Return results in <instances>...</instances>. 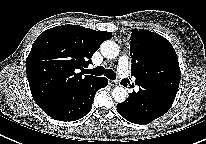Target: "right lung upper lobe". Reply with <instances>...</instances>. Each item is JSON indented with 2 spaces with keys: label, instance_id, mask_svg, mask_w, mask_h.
Segmentation results:
<instances>
[{
  "label": "right lung upper lobe",
  "instance_id": "cb5924a9",
  "mask_svg": "<svg viewBox=\"0 0 206 144\" xmlns=\"http://www.w3.org/2000/svg\"><path fill=\"white\" fill-rule=\"evenodd\" d=\"M112 35L78 25L44 31L26 59V73L35 102L44 111L78 94L97 77L78 73Z\"/></svg>",
  "mask_w": 206,
  "mask_h": 144
}]
</instances>
